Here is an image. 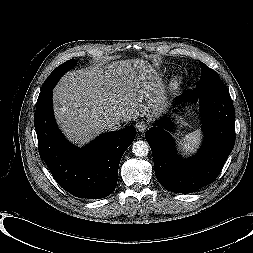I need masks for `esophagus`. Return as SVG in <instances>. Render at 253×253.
Segmentation results:
<instances>
[{
	"mask_svg": "<svg viewBox=\"0 0 253 253\" xmlns=\"http://www.w3.org/2000/svg\"><path fill=\"white\" fill-rule=\"evenodd\" d=\"M136 128L139 132H144L146 129H147V125L144 121H139L137 124H136Z\"/></svg>",
	"mask_w": 253,
	"mask_h": 253,
	"instance_id": "1",
	"label": "esophagus"
}]
</instances>
